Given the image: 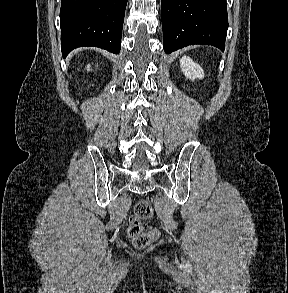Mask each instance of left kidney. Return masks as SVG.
Instances as JSON below:
<instances>
[{"mask_svg": "<svg viewBox=\"0 0 288 293\" xmlns=\"http://www.w3.org/2000/svg\"><path fill=\"white\" fill-rule=\"evenodd\" d=\"M180 67L184 75L192 81H194L197 78H204L203 69L197 63H195L190 57H182L180 59Z\"/></svg>", "mask_w": 288, "mask_h": 293, "instance_id": "5707ae66", "label": "left kidney"}]
</instances>
